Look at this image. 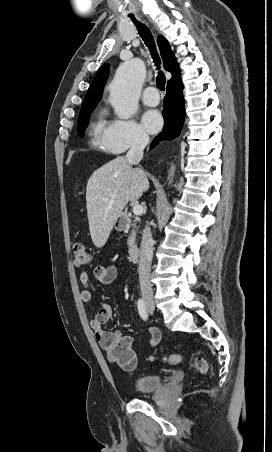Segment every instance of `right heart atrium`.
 Instances as JSON below:
<instances>
[{"instance_id": "obj_1", "label": "right heart atrium", "mask_w": 272, "mask_h": 452, "mask_svg": "<svg viewBox=\"0 0 272 452\" xmlns=\"http://www.w3.org/2000/svg\"><path fill=\"white\" fill-rule=\"evenodd\" d=\"M149 141L147 133L132 119H116L110 123L106 137L107 149L121 153L129 148H138Z\"/></svg>"}]
</instances>
